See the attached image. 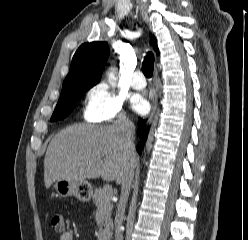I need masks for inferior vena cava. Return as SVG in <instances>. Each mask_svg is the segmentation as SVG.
Wrapping results in <instances>:
<instances>
[{
	"mask_svg": "<svg viewBox=\"0 0 248 240\" xmlns=\"http://www.w3.org/2000/svg\"><path fill=\"white\" fill-rule=\"evenodd\" d=\"M118 129L122 132L124 137V142L129 151L135 150L134 145V135H135V127L134 124L127 120H120L116 123ZM134 177V168L129 167L124 176L122 177L121 184V196L118 204V209L115 218V240H123V235L121 231V225L123 221V216L125 212V207L128 201L130 188L132 184V180Z\"/></svg>",
	"mask_w": 248,
	"mask_h": 240,
	"instance_id": "1",
	"label": "inferior vena cava"
}]
</instances>
